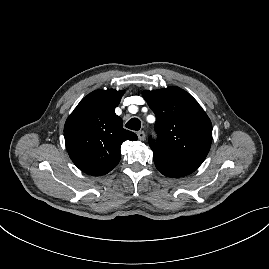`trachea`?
I'll list each match as a JSON object with an SVG mask.
<instances>
[{
	"mask_svg": "<svg viewBox=\"0 0 269 269\" xmlns=\"http://www.w3.org/2000/svg\"><path fill=\"white\" fill-rule=\"evenodd\" d=\"M125 127L134 131H138L141 128V121L138 118H132L126 123Z\"/></svg>",
	"mask_w": 269,
	"mask_h": 269,
	"instance_id": "1",
	"label": "trachea"
}]
</instances>
